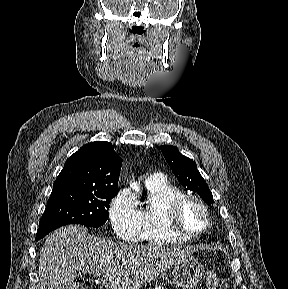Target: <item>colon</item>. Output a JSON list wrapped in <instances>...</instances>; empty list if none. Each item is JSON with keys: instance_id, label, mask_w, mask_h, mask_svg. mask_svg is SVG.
I'll use <instances>...</instances> for the list:
<instances>
[{"instance_id": "1", "label": "colon", "mask_w": 288, "mask_h": 289, "mask_svg": "<svg viewBox=\"0 0 288 289\" xmlns=\"http://www.w3.org/2000/svg\"><path fill=\"white\" fill-rule=\"evenodd\" d=\"M205 285L207 289H227L225 279L213 271H208L205 274Z\"/></svg>"}]
</instances>
